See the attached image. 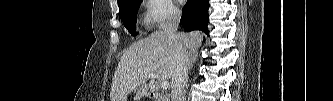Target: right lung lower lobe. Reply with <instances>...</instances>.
I'll list each match as a JSON object with an SVG mask.
<instances>
[{
  "label": "right lung lower lobe",
  "instance_id": "1",
  "mask_svg": "<svg viewBox=\"0 0 333 101\" xmlns=\"http://www.w3.org/2000/svg\"><path fill=\"white\" fill-rule=\"evenodd\" d=\"M209 0H188L183 8L181 25L188 31L201 30L208 34Z\"/></svg>",
  "mask_w": 333,
  "mask_h": 101
}]
</instances>
